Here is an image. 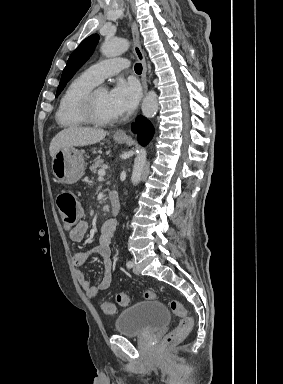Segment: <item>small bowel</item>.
<instances>
[{"label": "small bowel", "mask_w": 283, "mask_h": 384, "mask_svg": "<svg viewBox=\"0 0 283 384\" xmlns=\"http://www.w3.org/2000/svg\"><path fill=\"white\" fill-rule=\"evenodd\" d=\"M117 222L115 219L106 220L101 227V234L98 245L89 252H76L72 256L74 266H82L90 255H98L103 261L104 275L97 286L91 285L82 271L76 272L77 280L84 293L90 299H96L100 292L108 289L112 283L113 260L111 257V240L116 231ZM88 230V222L80 220L74 228L69 231V238L74 242H80Z\"/></svg>", "instance_id": "small-bowel-1"}]
</instances>
